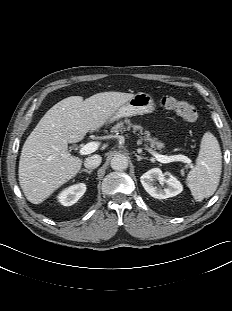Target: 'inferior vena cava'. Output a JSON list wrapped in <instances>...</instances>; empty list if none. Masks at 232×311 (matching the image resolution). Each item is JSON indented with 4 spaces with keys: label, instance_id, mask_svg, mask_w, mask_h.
<instances>
[{
    "label": "inferior vena cava",
    "instance_id": "1",
    "mask_svg": "<svg viewBox=\"0 0 232 311\" xmlns=\"http://www.w3.org/2000/svg\"><path fill=\"white\" fill-rule=\"evenodd\" d=\"M102 161V157L100 155H92L87 157L84 161V166L88 169L97 168Z\"/></svg>",
    "mask_w": 232,
    "mask_h": 311
}]
</instances>
